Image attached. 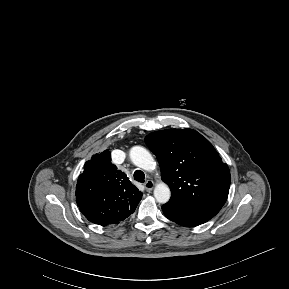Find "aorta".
<instances>
[{"mask_svg":"<svg viewBox=\"0 0 289 289\" xmlns=\"http://www.w3.org/2000/svg\"><path fill=\"white\" fill-rule=\"evenodd\" d=\"M130 159L134 165L146 171H152L155 168V161L152 155L142 146H134L130 149ZM171 196L167 184L160 182L154 188V197L157 202L164 204L169 201Z\"/></svg>","mask_w":289,"mask_h":289,"instance_id":"1","label":"aorta"}]
</instances>
